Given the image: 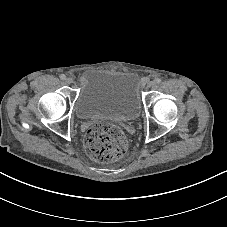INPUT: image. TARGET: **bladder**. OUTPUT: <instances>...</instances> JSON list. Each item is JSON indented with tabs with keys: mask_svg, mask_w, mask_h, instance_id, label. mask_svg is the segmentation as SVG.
I'll use <instances>...</instances> for the list:
<instances>
[{
	"mask_svg": "<svg viewBox=\"0 0 227 227\" xmlns=\"http://www.w3.org/2000/svg\"><path fill=\"white\" fill-rule=\"evenodd\" d=\"M142 110L140 84L132 72H92L74 100L73 111L82 121L109 118L135 122Z\"/></svg>",
	"mask_w": 227,
	"mask_h": 227,
	"instance_id": "obj_1",
	"label": "bladder"
}]
</instances>
